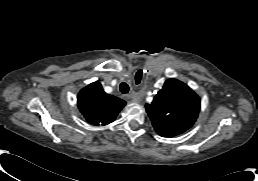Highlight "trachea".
Listing matches in <instances>:
<instances>
[{
    "label": "trachea",
    "mask_w": 258,
    "mask_h": 181,
    "mask_svg": "<svg viewBox=\"0 0 258 181\" xmlns=\"http://www.w3.org/2000/svg\"><path fill=\"white\" fill-rule=\"evenodd\" d=\"M120 91L123 93V94H126L129 92V86L128 84H126L125 82H122L120 84Z\"/></svg>",
    "instance_id": "obj_1"
}]
</instances>
